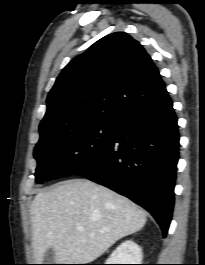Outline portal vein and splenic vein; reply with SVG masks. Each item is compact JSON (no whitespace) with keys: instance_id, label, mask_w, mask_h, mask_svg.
<instances>
[{"instance_id":"obj_1","label":"portal vein and splenic vein","mask_w":205,"mask_h":265,"mask_svg":"<svg viewBox=\"0 0 205 265\" xmlns=\"http://www.w3.org/2000/svg\"><path fill=\"white\" fill-rule=\"evenodd\" d=\"M77 229H78V230H83V228H82V227H78Z\"/></svg>"}]
</instances>
